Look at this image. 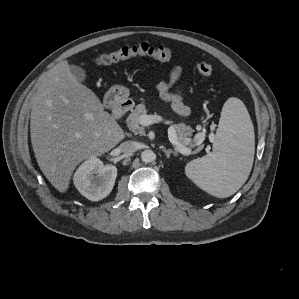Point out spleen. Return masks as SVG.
I'll return each mask as SVG.
<instances>
[{
	"instance_id": "obj_1",
	"label": "spleen",
	"mask_w": 299,
	"mask_h": 299,
	"mask_svg": "<svg viewBox=\"0 0 299 299\" xmlns=\"http://www.w3.org/2000/svg\"><path fill=\"white\" fill-rule=\"evenodd\" d=\"M254 153L255 135L250 115L240 99L231 97L221 111L213 152L187 163L185 173L202 190L226 198L246 182Z\"/></svg>"
}]
</instances>
